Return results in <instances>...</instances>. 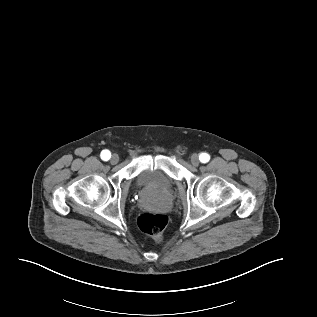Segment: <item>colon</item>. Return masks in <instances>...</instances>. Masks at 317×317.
<instances>
[{"instance_id":"1","label":"colon","mask_w":317,"mask_h":317,"mask_svg":"<svg viewBox=\"0 0 317 317\" xmlns=\"http://www.w3.org/2000/svg\"><path fill=\"white\" fill-rule=\"evenodd\" d=\"M167 223L168 217L161 213H143L138 218L140 230L156 241L161 240Z\"/></svg>"}]
</instances>
